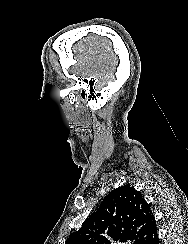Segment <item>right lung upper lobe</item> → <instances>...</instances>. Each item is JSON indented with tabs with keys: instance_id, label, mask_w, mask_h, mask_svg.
Returning <instances> with one entry per match:
<instances>
[{
	"instance_id": "1",
	"label": "right lung upper lobe",
	"mask_w": 188,
	"mask_h": 244,
	"mask_svg": "<svg viewBox=\"0 0 188 244\" xmlns=\"http://www.w3.org/2000/svg\"><path fill=\"white\" fill-rule=\"evenodd\" d=\"M156 226L149 204L129 185L113 190L65 244H143Z\"/></svg>"
}]
</instances>
